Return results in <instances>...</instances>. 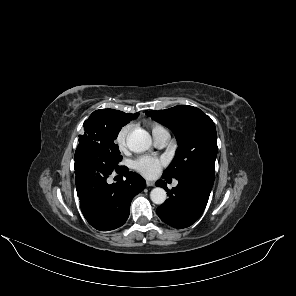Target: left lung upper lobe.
Returning <instances> with one entry per match:
<instances>
[{"label": "left lung upper lobe", "mask_w": 296, "mask_h": 296, "mask_svg": "<svg viewBox=\"0 0 296 296\" xmlns=\"http://www.w3.org/2000/svg\"><path fill=\"white\" fill-rule=\"evenodd\" d=\"M146 114L171 129L178 142L174 160L164 171L163 177L177 179L197 171L215 173L217 134L209 116L189 105L149 111Z\"/></svg>", "instance_id": "5c2ea615"}]
</instances>
